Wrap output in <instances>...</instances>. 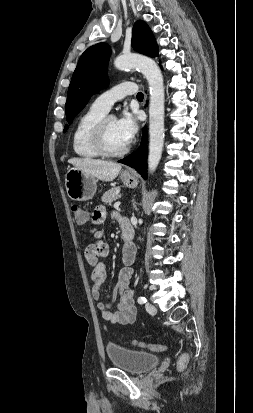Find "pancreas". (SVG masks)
Segmentation results:
<instances>
[{
	"label": "pancreas",
	"mask_w": 253,
	"mask_h": 413,
	"mask_svg": "<svg viewBox=\"0 0 253 413\" xmlns=\"http://www.w3.org/2000/svg\"><path fill=\"white\" fill-rule=\"evenodd\" d=\"M119 192H120L119 187H115V188L108 190L107 192L103 194L102 202H104L105 204H111L113 201H115L120 196Z\"/></svg>",
	"instance_id": "1"
}]
</instances>
